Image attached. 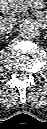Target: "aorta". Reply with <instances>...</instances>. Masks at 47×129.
<instances>
[{
  "label": "aorta",
  "instance_id": "aorta-1",
  "mask_svg": "<svg viewBox=\"0 0 47 129\" xmlns=\"http://www.w3.org/2000/svg\"><path fill=\"white\" fill-rule=\"evenodd\" d=\"M18 32L23 38L32 39L37 35L38 29L33 21L25 20L19 25Z\"/></svg>",
  "mask_w": 47,
  "mask_h": 129
}]
</instances>
